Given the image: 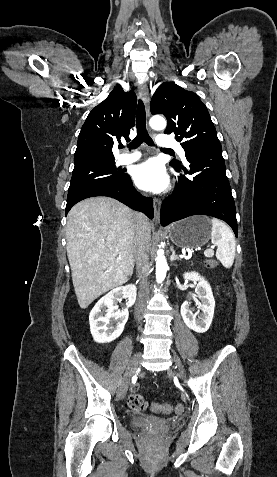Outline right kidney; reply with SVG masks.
I'll return each mask as SVG.
<instances>
[{
	"mask_svg": "<svg viewBox=\"0 0 277 477\" xmlns=\"http://www.w3.org/2000/svg\"><path fill=\"white\" fill-rule=\"evenodd\" d=\"M137 288L133 284L120 286L103 296L93 307L89 315L90 331L97 343H110L117 339L123 332L128 320V308L136 301ZM128 299L127 308L118 310V302ZM115 320L116 326L110 325Z\"/></svg>",
	"mask_w": 277,
	"mask_h": 477,
	"instance_id": "obj_1",
	"label": "right kidney"
}]
</instances>
